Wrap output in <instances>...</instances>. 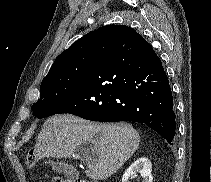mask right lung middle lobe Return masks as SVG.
Instances as JSON below:
<instances>
[{
	"label": "right lung middle lobe",
	"mask_w": 211,
	"mask_h": 182,
	"mask_svg": "<svg viewBox=\"0 0 211 182\" xmlns=\"http://www.w3.org/2000/svg\"><path fill=\"white\" fill-rule=\"evenodd\" d=\"M90 64L75 65L44 78L40 85V98L32 105L34 115L45 118L56 114L81 89Z\"/></svg>",
	"instance_id": "right-lung-middle-lobe-1"
}]
</instances>
